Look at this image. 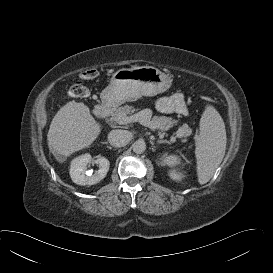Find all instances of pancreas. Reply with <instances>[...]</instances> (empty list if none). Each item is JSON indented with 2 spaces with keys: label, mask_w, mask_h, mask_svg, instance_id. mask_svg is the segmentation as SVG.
Instances as JSON below:
<instances>
[{
  "label": "pancreas",
  "mask_w": 273,
  "mask_h": 273,
  "mask_svg": "<svg viewBox=\"0 0 273 273\" xmlns=\"http://www.w3.org/2000/svg\"><path fill=\"white\" fill-rule=\"evenodd\" d=\"M135 111V108L133 106L125 105L122 107L117 108L112 114L110 121L113 124H120V125H126L128 124L127 121L124 120V117L132 114ZM152 129H157L160 131H165L171 128L176 121L172 120V118L166 117V116H153L150 119ZM178 137H188L192 134L191 128L187 124L182 125L178 128L176 132Z\"/></svg>",
  "instance_id": "pancreas-1"
}]
</instances>
